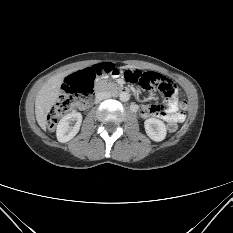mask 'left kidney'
<instances>
[{
	"instance_id": "obj_1",
	"label": "left kidney",
	"mask_w": 233,
	"mask_h": 233,
	"mask_svg": "<svg viewBox=\"0 0 233 233\" xmlns=\"http://www.w3.org/2000/svg\"><path fill=\"white\" fill-rule=\"evenodd\" d=\"M144 127L147 135L156 142H160L165 139L167 130L163 121L156 118L146 119Z\"/></svg>"
}]
</instances>
